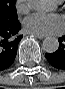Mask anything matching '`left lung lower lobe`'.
<instances>
[{"label": "left lung lower lobe", "mask_w": 65, "mask_h": 89, "mask_svg": "<svg viewBox=\"0 0 65 89\" xmlns=\"http://www.w3.org/2000/svg\"><path fill=\"white\" fill-rule=\"evenodd\" d=\"M59 49L51 54H45L48 62L57 69L65 70V36L58 39Z\"/></svg>", "instance_id": "0a47b994"}]
</instances>
